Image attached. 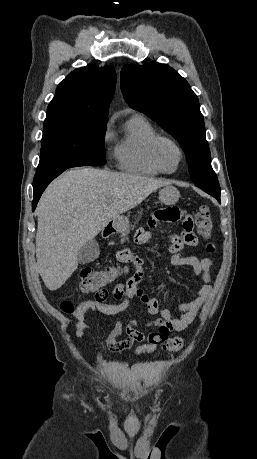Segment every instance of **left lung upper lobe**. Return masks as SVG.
<instances>
[{"mask_svg": "<svg viewBox=\"0 0 257 459\" xmlns=\"http://www.w3.org/2000/svg\"><path fill=\"white\" fill-rule=\"evenodd\" d=\"M126 102L170 133L185 151L194 184L220 201L212 170L204 118L188 82L166 64L125 65L120 74Z\"/></svg>", "mask_w": 257, "mask_h": 459, "instance_id": "left-lung-upper-lobe-1", "label": "left lung upper lobe"}]
</instances>
